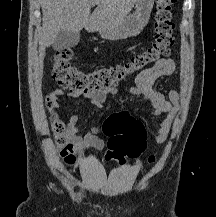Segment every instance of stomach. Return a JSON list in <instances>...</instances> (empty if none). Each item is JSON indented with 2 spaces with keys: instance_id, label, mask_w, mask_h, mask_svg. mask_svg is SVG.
<instances>
[{
  "instance_id": "stomach-1",
  "label": "stomach",
  "mask_w": 216,
  "mask_h": 217,
  "mask_svg": "<svg viewBox=\"0 0 216 217\" xmlns=\"http://www.w3.org/2000/svg\"><path fill=\"white\" fill-rule=\"evenodd\" d=\"M155 0H137L136 11L127 16L119 25L99 31L107 39H126L137 36L147 25Z\"/></svg>"
}]
</instances>
